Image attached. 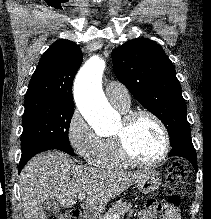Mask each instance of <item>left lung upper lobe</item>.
<instances>
[{
    "mask_svg": "<svg viewBox=\"0 0 211 219\" xmlns=\"http://www.w3.org/2000/svg\"><path fill=\"white\" fill-rule=\"evenodd\" d=\"M111 57L116 77L163 122L171 146L191 134L175 68L158 44L146 38L131 40L114 49Z\"/></svg>",
    "mask_w": 211,
    "mask_h": 219,
    "instance_id": "obj_1",
    "label": "left lung upper lobe"
}]
</instances>
